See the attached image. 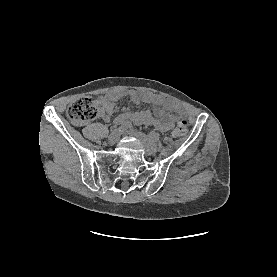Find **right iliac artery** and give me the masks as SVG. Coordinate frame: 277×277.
I'll return each instance as SVG.
<instances>
[{
	"mask_svg": "<svg viewBox=\"0 0 277 277\" xmlns=\"http://www.w3.org/2000/svg\"><path fill=\"white\" fill-rule=\"evenodd\" d=\"M117 124H120V126L118 128V130L120 132H122V131H124V130H126V129L131 127V122L130 121H124L122 123H117Z\"/></svg>",
	"mask_w": 277,
	"mask_h": 277,
	"instance_id": "obj_1",
	"label": "right iliac artery"
}]
</instances>
